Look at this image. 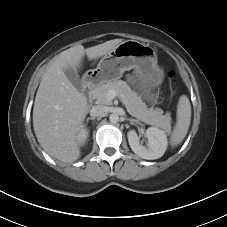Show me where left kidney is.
<instances>
[{
    "instance_id": "obj_1",
    "label": "left kidney",
    "mask_w": 227,
    "mask_h": 227,
    "mask_svg": "<svg viewBox=\"0 0 227 227\" xmlns=\"http://www.w3.org/2000/svg\"><path fill=\"white\" fill-rule=\"evenodd\" d=\"M127 137L132 151L136 155L147 160H154L162 157L168 145L165 131L157 127H149L146 130V137L148 139L147 147L140 144L139 137L135 130H130Z\"/></svg>"
}]
</instances>
